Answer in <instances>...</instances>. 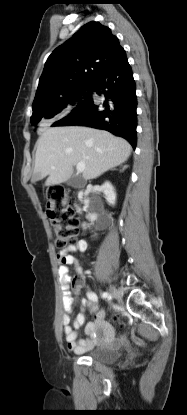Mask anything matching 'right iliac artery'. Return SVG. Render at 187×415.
<instances>
[{
  "instance_id": "obj_1",
  "label": "right iliac artery",
  "mask_w": 187,
  "mask_h": 415,
  "mask_svg": "<svg viewBox=\"0 0 187 415\" xmlns=\"http://www.w3.org/2000/svg\"><path fill=\"white\" fill-rule=\"evenodd\" d=\"M109 295H108V293L107 292H103L102 293V298H107Z\"/></svg>"
}]
</instances>
